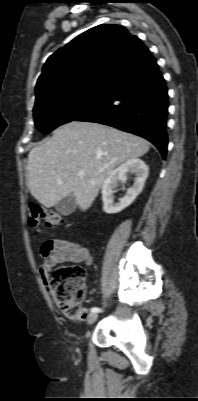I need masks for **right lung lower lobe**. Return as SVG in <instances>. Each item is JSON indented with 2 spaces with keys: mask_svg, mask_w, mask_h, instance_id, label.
<instances>
[{
  "mask_svg": "<svg viewBox=\"0 0 198 401\" xmlns=\"http://www.w3.org/2000/svg\"><path fill=\"white\" fill-rule=\"evenodd\" d=\"M168 95L165 80L149 53L115 78L101 99L75 121L96 122L141 136L166 157Z\"/></svg>",
  "mask_w": 198,
  "mask_h": 401,
  "instance_id": "1",
  "label": "right lung lower lobe"
}]
</instances>
